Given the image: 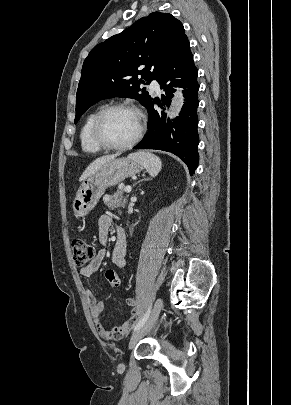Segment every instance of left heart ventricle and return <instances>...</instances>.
Here are the masks:
<instances>
[{"label":"left heart ventricle","mask_w":291,"mask_h":405,"mask_svg":"<svg viewBox=\"0 0 291 405\" xmlns=\"http://www.w3.org/2000/svg\"><path fill=\"white\" fill-rule=\"evenodd\" d=\"M138 128V116L130 110L119 109L104 117L101 131L106 141L112 144H124L136 135Z\"/></svg>","instance_id":"b2bd125f"}]
</instances>
